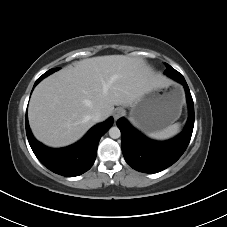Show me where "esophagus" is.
<instances>
[{
    "instance_id": "34e87169",
    "label": "esophagus",
    "mask_w": 227,
    "mask_h": 227,
    "mask_svg": "<svg viewBox=\"0 0 227 227\" xmlns=\"http://www.w3.org/2000/svg\"><path fill=\"white\" fill-rule=\"evenodd\" d=\"M124 113H125V110L122 107L116 108L113 113L114 119L115 120L119 119L120 117H122L124 115Z\"/></svg>"
}]
</instances>
